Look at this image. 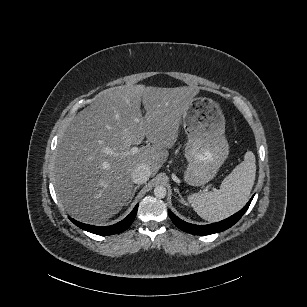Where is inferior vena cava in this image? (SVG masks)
<instances>
[{"instance_id":"obj_1","label":"inferior vena cava","mask_w":307,"mask_h":307,"mask_svg":"<svg viewBox=\"0 0 307 307\" xmlns=\"http://www.w3.org/2000/svg\"><path fill=\"white\" fill-rule=\"evenodd\" d=\"M151 171L146 163H139L132 173V181L137 184H143L149 179Z\"/></svg>"}]
</instances>
